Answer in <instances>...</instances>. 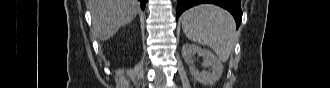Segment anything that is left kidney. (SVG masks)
<instances>
[{
  "instance_id": "1",
  "label": "left kidney",
  "mask_w": 330,
  "mask_h": 88,
  "mask_svg": "<svg viewBox=\"0 0 330 88\" xmlns=\"http://www.w3.org/2000/svg\"><path fill=\"white\" fill-rule=\"evenodd\" d=\"M203 57V66L210 67L211 71H199L192 64V57L195 54ZM182 56L190 65V73L194 79L203 85H211L218 81L223 73L222 62L209 50L202 49L198 45L186 43L182 47Z\"/></svg>"
}]
</instances>
